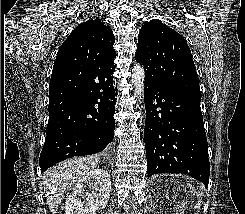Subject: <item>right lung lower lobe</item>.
I'll list each match as a JSON object with an SVG mask.
<instances>
[{
  "instance_id": "right-lung-lower-lobe-1",
  "label": "right lung lower lobe",
  "mask_w": 245,
  "mask_h": 214,
  "mask_svg": "<svg viewBox=\"0 0 245 214\" xmlns=\"http://www.w3.org/2000/svg\"><path fill=\"white\" fill-rule=\"evenodd\" d=\"M113 71L97 70L91 85L79 95H49V121L39 161L41 173L68 158L109 147L114 137L117 96Z\"/></svg>"
}]
</instances>
